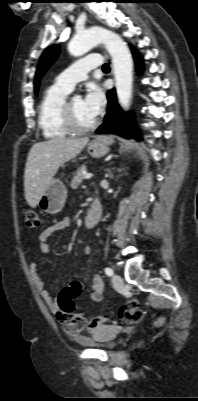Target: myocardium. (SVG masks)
Listing matches in <instances>:
<instances>
[{
    "label": "myocardium",
    "mask_w": 198,
    "mask_h": 401,
    "mask_svg": "<svg viewBox=\"0 0 198 401\" xmlns=\"http://www.w3.org/2000/svg\"><path fill=\"white\" fill-rule=\"evenodd\" d=\"M72 100V99H71ZM71 100H65L63 107H62V122L66 129L71 133L82 134L87 133L89 131L94 130L99 121L95 119L91 124L82 126L79 125L76 121L72 106Z\"/></svg>",
    "instance_id": "obj_1"
}]
</instances>
